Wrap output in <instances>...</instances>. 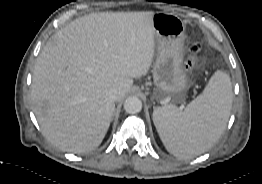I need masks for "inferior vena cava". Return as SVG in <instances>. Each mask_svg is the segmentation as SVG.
<instances>
[{
    "mask_svg": "<svg viewBox=\"0 0 262 184\" xmlns=\"http://www.w3.org/2000/svg\"><path fill=\"white\" fill-rule=\"evenodd\" d=\"M106 98L109 102L114 103L118 100V91L116 89H110L106 93Z\"/></svg>",
    "mask_w": 262,
    "mask_h": 184,
    "instance_id": "1",
    "label": "inferior vena cava"
}]
</instances>
